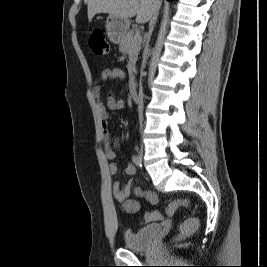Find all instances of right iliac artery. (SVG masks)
<instances>
[{"label":"right iliac artery","mask_w":267,"mask_h":267,"mask_svg":"<svg viewBox=\"0 0 267 267\" xmlns=\"http://www.w3.org/2000/svg\"><path fill=\"white\" fill-rule=\"evenodd\" d=\"M132 161L137 167L142 166L141 159L138 156L133 155Z\"/></svg>","instance_id":"1"}]
</instances>
